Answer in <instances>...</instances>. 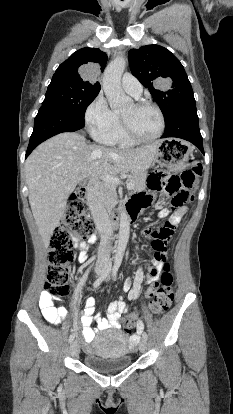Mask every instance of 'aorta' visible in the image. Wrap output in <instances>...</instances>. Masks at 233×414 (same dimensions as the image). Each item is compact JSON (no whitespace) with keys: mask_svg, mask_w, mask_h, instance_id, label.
<instances>
[{"mask_svg":"<svg viewBox=\"0 0 233 414\" xmlns=\"http://www.w3.org/2000/svg\"><path fill=\"white\" fill-rule=\"evenodd\" d=\"M126 66L123 57H116L106 67L103 75V90L108 99L111 109H121L129 105L132 100L127 96L121 87V77ZM130 235V220L126 210L120 213V229L118 248L115 261L120 262L123 258Z\"/></svg>","mask_w":233,"mask_h":414,"instance_id":"obj_1","label":"aorta"}]
</instances>
